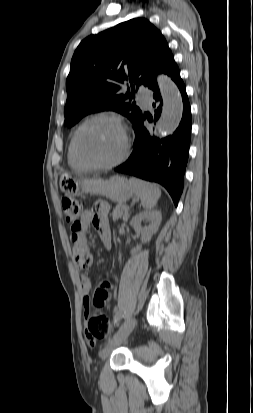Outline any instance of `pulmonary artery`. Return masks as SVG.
Here are the masks:
<instances>
[{
	"instance_id": "1",
	"label": "pulmonary artery",
	"mask_w": 253,
	"mask_h": 413,
	"mask_svg": "<svg viewBox=\"0 0 253 413\" xmlns=\"http://www.w3.org/2000/svg\"><path fill=\"white\" fill-rule=\"evenodd\" d=\"M138 99L141 102L143 107H150L151 106V95L147 89L141 88L138 91Z\"/></svg>"
}]
</instances>
